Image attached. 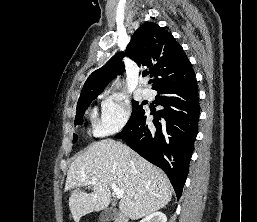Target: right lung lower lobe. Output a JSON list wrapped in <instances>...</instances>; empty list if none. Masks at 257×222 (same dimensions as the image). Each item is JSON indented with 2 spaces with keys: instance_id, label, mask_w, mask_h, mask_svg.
<instances>
[{
  "instance_id": "98d812e1",
  "label": "right lung lower lobe",
  "mask_w": 257,
  "mask_h": 222,
  "mask_svg": "<svg viewBox=\"0 0 257 222\" xmlns=\"http://www.w3.org/2000/svg\"><path fill=\"white\" fill-rule=\"evenodd\" d=\"M153 126L143 111L129 127L115 135L169 177L179 199L185 184L199 121V99L195 74L156 89Z\"/></svg>"
}]
</instances>
